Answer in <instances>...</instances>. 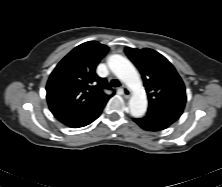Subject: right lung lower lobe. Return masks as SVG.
Listing matches in <instances>:
<instances>
[{
    "label": "right lung lower lobe",
    "instance_id": "1",
    "mask_svg": "<svg viewBox=\"0 0 222 187\" xmlns=\"http://www.w3.org/2000/svg\"><path fill=\"white\" fill-rule=\"evenodd\" d=\"M102 109L103 107L86 113H52L60 122L66 126L71 128H79L86 126L97 119L100 116Z\"/></svg>",
    "mask_w": 222,
    "mask_h": 187
}]
</instances>
